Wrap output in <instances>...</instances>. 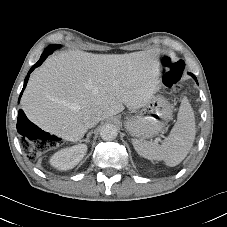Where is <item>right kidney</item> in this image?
<instances>
[{
  "instance_id": "obj_1",
  "label": "right kidney",
  "mask_w": 227,
  "mask_h": 227,
  "mask_svg": "<svg viewBox=\"0 0 227 227\" xmlns=\"http://www.w3.org/2000/svg\"><path fill=\"white\" fill-rule=\"evenodd\" d=\"M87 152V146L78 144L56 152L50 159V164L58 170H68L75 167Z\"/></svg>"
}]
</instances>
